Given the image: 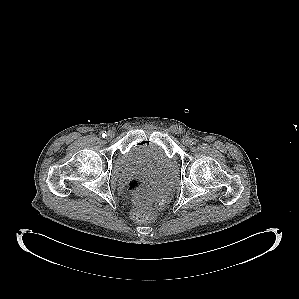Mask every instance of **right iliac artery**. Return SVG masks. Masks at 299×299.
<instances>
[{
    "mask_svg": "<svg viewBox=\"0 0 299 299\" xmlns=\"http://www.w3.org/2000/svg\"><path fill=\"white\" fill-rule=\"evenodd\" d=\"M101 136H102L103 138H105V137L107 136V135H106V132H102Z\"/></svg>",
    "mask_w": 299,
    "mask_h": 299,
    "instance_id": "82829eb1",
    "label": "right iliac artery"
}]
</instances>
